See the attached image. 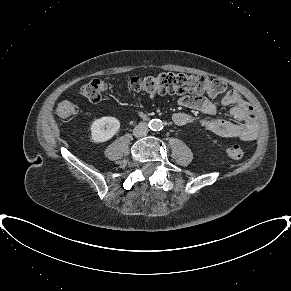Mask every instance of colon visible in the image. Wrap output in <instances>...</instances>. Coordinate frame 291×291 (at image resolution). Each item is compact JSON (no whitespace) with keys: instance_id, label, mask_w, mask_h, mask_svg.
<instances>
[{"instance_id":"1","label":"colon","mask_w":291,"mask_h":291,"mask_svg":"<svg viewBox=\"0 0 291 291\" xmlns=\"http://www.w3.org/2000/svg\"><path fill=\"white\" fill-rule=\"evenodd\" d=\"M126 87L133 92L145 93L151 96L166 94L207 93L216 97L225 91V84L217 78L204 75H190L164 71L146 77L131 78ZM114 88V84L102 79H93L80 88V94L91 102H99L104 94ZM78 111L74 102L63 101L56 110L60 118H70ZM232 160H240L244 149L239 144L229 146L224 151Z\"/></svg>"}]
</instances>
